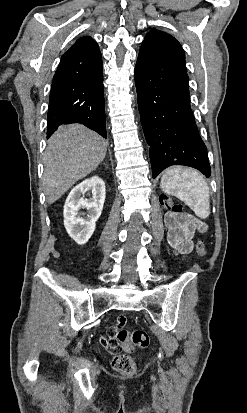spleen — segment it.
Listing matches in <instances>:
<instances>
[{
    "label": "spleen",
    "mask_w": 247,
    "mask_h": 413,
    "mask_svg": "<svg viewBox=\"0 0 247 413\" xmlns=\"http://www.w3.org/2000/svg\"><path fill=\"white\" fill-rule=\"evenodd\" d=\"M161 188L183 200L200 219L209 215V186L201 172L194 168H167L161 178Z\"/></svg>",
    "instance_id": "obj_1"
}]
</instances>
